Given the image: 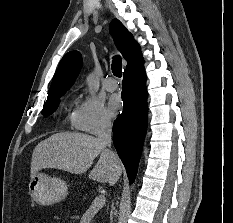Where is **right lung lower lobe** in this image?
<instances>
[{
  "label": "right lung lower lobe",
  "mask_w": 233,
  "mask_h": 223,
  "mask_svg": "<svg viewBox=\"0 0 233 223\" xmlns=\"http://www.w3.org/2000/svg\"><path fill=\"white\" fill-rule=\"evenodd\" d=\"M146 74L143 66L125 72L122 81L123 112L114 121L113 143L130 184L135 180L147 128Z\"/></svg>",
  "instance_id": "obj_1"
}]
</instances>
